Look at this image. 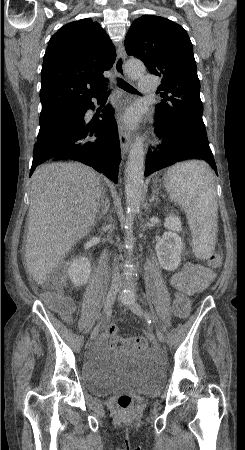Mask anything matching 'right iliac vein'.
<instances>
[{
  "label": "right iliac vein",
  "instance_id": "63e3f726",
  "mask_svg": "<svg viewBox=\"0 0 245 450\" xmlns=\"http://www.w3.org/2000/svg\"><path fill=\"white\" fill-rule=\"evenodd\" d=\"M118 292V286L112 285L104 302L103 316L111 309ZM99 332V326H96L91 333V340H95Z\"/></svg>",
  "mask_w": 245,
  "mask_h": 450
}]
</instances>
